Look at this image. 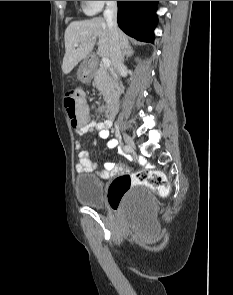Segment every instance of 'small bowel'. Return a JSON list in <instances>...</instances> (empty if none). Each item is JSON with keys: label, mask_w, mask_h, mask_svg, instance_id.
<instances>
[{"label": "small bowel", "mask_w": 233, "mask_h": 295, "mask_svg": "<svg viewBox=\"0 0 233 295\" xmlns=\"http://www.w3.org/2000/svg\"><path fill=\"white\" fill-rule=\"evenodd\" d=\"M112 122L109 119H106L104 121H95L93 119L88 118V121L81 126L74 127L75 131L81 135L86 134L92 130H95L98 132V135L102 139H108L110 135V128H111ZM118 142L116 139L112 138L109 139L107 142V147L109 149H114L117 146ZM77 148H80V145H76ZM79 162L76 165V171L79 173H90L95 171V164L91 160L89 151L86 149H83L79 152L78 155ZM123 167L115 163L113 161H106L104 163V167L102 170L96 171V174L99 178L102 179H108L118 173L119 171H122Z\"/></svg>", "instance_id": "c3829d8e"}]
</instances>
